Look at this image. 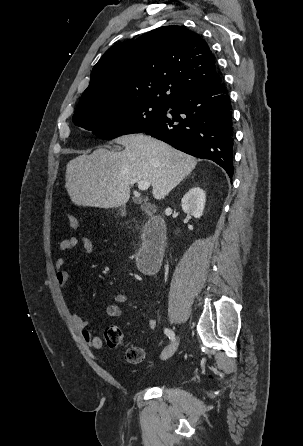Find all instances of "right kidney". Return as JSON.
Instances as JSON below:
<instances>
[{
    "label": "right kidney",
    "instance_id": "right-kidney-1",
    "mask_svg": "<svg viewBox=\"0 0 303 446\" xmlns=\"http://www.w3.org/2000/svg\"><path fill=\"white\" fill-rule=\"evenodd\" d=\"M205 202V192L199 187H194L183 196L181 206L184 212L190 213L195 218H200L203 215Z\"/></svg>",
    "mask_w": 303,
    "mask_h": 446
}]
</instances>
